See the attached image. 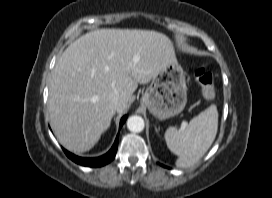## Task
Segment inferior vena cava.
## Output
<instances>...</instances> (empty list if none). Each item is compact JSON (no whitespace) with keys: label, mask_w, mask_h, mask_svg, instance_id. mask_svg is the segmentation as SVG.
I'll return each instance as SVG.
<instances>
[{"label":"inferior vena cava","mask_w":272,"mask_h":198,"mask_svg":"<svg viewBox=\"0 0 272 198\" xmlns=\"http://www.w3.org/2000/svg\"><path fill=\"white\" fill-rule=\"evenodd\" d=\"M109 100L114 104L117 105L120 101V94L118 91H113L112 93H110L109 95Z\"/></svg>","instance_id":"602c4592"}]
</instances>
